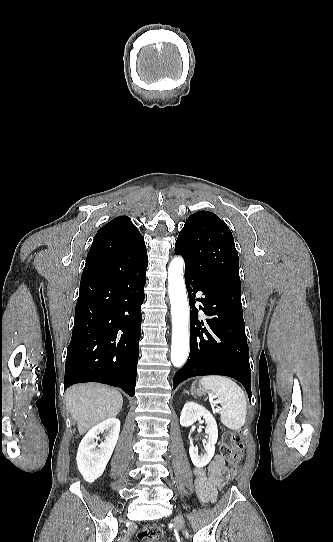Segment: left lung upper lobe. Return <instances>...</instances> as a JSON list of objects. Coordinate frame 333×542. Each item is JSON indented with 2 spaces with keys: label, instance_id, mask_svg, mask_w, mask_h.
<instances>
[{
  "label": "left lung upper lobe",
  "instance_id": "left-lung-upper-lobe-1",
  "mask_svg": "<svg viewBox=\"0 0 333 542\" xmlns=\"http://www.w3.org/2000/svg\"><path fill=\"white\" fill-rule=\"evenodd\" d=\"M175 253L183 256L186 268L241 288L233 235L214 213L198 211L187 219L178 235Z\"/></svg>",
  "mask_w": 333,
  "mask_h": 542
}]
</instances>
